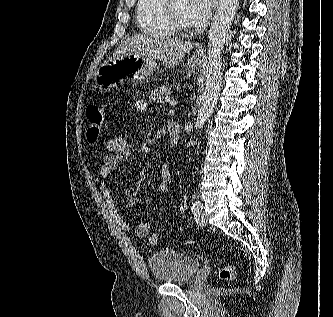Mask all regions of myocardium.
<instances>
[{
  "label": "myocardium",
  "instance_id": "myocardium-1",
  "mask_svg": "<svg viewBox=\"0 0 333 317\" xmlns=\"http://www.w3.org/2000/svg\"><path fill=\"white\" fill-rule=\"evenodd\" d=\"M174 0H161V14L167 24L175 33L186 34L191 31V27L180 23L173 12Z\"/></svg>",
  "mask_w": 333,
  "mask_h": 317
}]
</instances>
